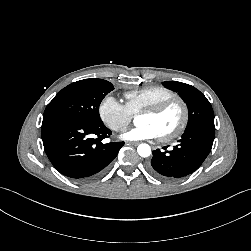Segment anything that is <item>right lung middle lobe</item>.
<instances>
[{
	"label": "right lung middle lobe",
	"mask_w": 251,
	"mask_h": 251,
	"mask_svg": "<svg viewBox=\"0 0 251 251\" xmlns=\"http://www.w3.org/2000/svg\"><path fill=\"white\" fill-rule=\"evenodd\" d=\"M114 89L112 83L102 79H84L62 89L47 105L43 122L51 119H69L102 124L99 105Z\"/></svg>",
	"instance_id": "dd1d6c3e"
}]
</instances>
